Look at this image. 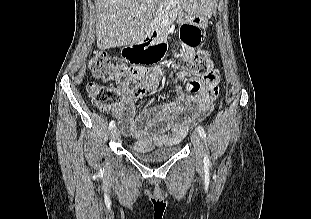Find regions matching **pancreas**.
Here are the masks:
<instances>
[{
  "label": "pancreas",
  "mask_w": 311,
  "mask_h": 219,
  "mask_svg": "<svg viewBox=\"0 0 311 219\" xmlns=\"http://www.w3.org/2000/svg\"><path fill=\"white\" fill-rule=\"evenodd\" d=\"M181 9L179 0H164L163 5L156 12L155 18V23H157L161 33L166 34L168 32L175 15Z\"/></svg>",
  "instance_id": "obj_1"
}]
</instances>
